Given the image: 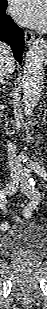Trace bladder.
Returning a JSON list of instances; mask_svg holds the SVG:
<instances>
[{"label": "bladder", "mask_w": 47, "mask_h": 309, "mask_svg": "<svg viewBox=\"0 0 47 309\" xmlns=\"http://www.w3.org/2000/svg\"><path fill=\"white\" fill-rule=\"evenodd\" d=\"M46 229L35 222L20 220L1 238L0 248L10 257L40 256L46 249Z\"/></svg>", "instance_id": "1"}]
</instances>
